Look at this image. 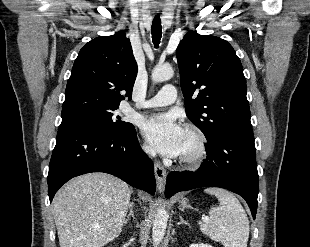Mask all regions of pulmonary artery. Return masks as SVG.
Listing matches in <instances>:
<instances>
[{
    "label": "pulmonary artery",
    "instance_id": "e3ab8cb5",
    "mask_svg": "<svg viewBox=\"0 0 310 247\" xmlns=\"http://www.w3.org/2000/svg\"><path fill=\"white\" fill-rule=\"evenodd\" d=\"M176 98H177V91L175 86L170 84L165 85L154 97L143 102L141 104V107L151 108V107L169 105L175 102Z\"/></svg>",
    "mask_w": 310,
    "mask_h": 247
}]
</instances>
